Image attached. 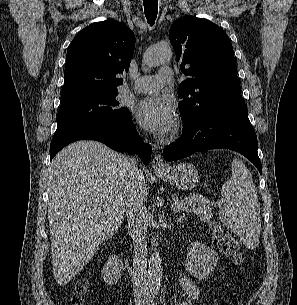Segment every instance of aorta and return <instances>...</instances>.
Here are the masks:
<instances>
[{
  "label": "aorta",
  "instance_id": "obj_1",
  "mask_svg": "<svg viewBox=\"0 0 297 305\" xmlns=\"http://www.w3.org/2000/svg\"><path fill=\"white\" fill-rule=\"evenodd\" d=\"M172 57V49L169 45H160L149 48L144 56L143 63L146 66H157L168 62ZM159 252L152 253L148 267V284L151 294H157L160 289L162 266Z\"/></svg>",
  "mask_w": 297,
  "mask_h": 305
}]
</instances>
